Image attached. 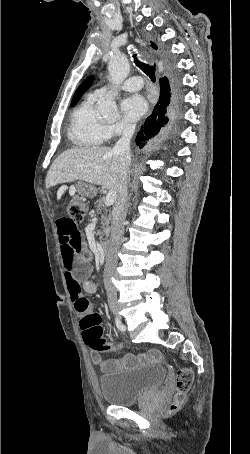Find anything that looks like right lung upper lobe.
I'll return each mask as SVG.
<instances>
[{"label": "right lung upper lobe", "instance_id": "obj_1", "mask_svg": "<svg viewBox=\"0 0 250 454\" xmlns=\"http://www.w3.org/2000/svg\"><path fill=\"white\" fill-rule=\"evenodd\" d=\"M151 46H152V48L157 49L156 44L153 43V44H151Z\"/></svg>", "mask_w": 250, "mask_h": 454}]
</instances>
